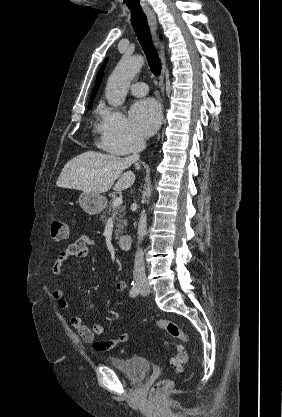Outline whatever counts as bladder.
Returning a JSON list of instances; mask_svg holds the SVG:
<instances>
[{
  "label": "bladder",
  "mask_w": 282,
  "mask_h": 417,
  "mask_svg": "<svg viewBox=\"0 0 282 417\" xmlns=\"http://www.w3.org/2000/svg\"><path fill=\"white\" fill-rule=\"evenodd\" d=\"M107 362L134 382L143 380L151 370L149 360L142 356L110 357Z\"/></svg>",
  "instance_id": "31cf9c89"
}]
</instances>
